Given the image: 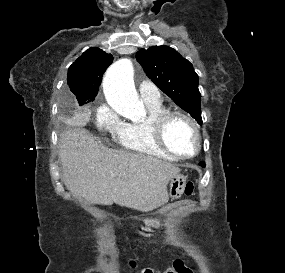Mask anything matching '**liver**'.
Segmentation results:
<instances>
[{"label": "liver", "instance_id": "liver-1", "mask_svg": "<svg viewBox=\"0 0 285 273\" xmlns=\"http://www.w3.org/2000/svg\"><path fill=\"white\" fill-rule=\"evenodd\" d=\"M62 180L76 196L92 204L113 203L151 211L167 203V184L180 168L153 156L103 146L83 128L59 139Z\"/></svg>", "mask_w": 285, "mask_h": 273}]
</instances>
